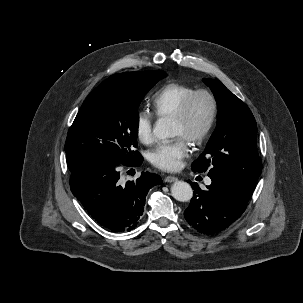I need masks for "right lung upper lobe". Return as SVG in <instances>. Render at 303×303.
Wrapping results in <instances>:
<instances>
[{"instance_id":"cb5924a9","label":"right lung upper lobe","mask_w":303,"mask_h":303,"mask_svg":"<svg viewBox=\"0 0 303 303\" xmlns=\"http://www.w3.org/2000/svg\"><path fill=\"white\" fill-rule=\"evenodd\" d=\"M141 72H129V73H126V74H129V75H136V74H139Z\"/></svg>"}]
</instances>
